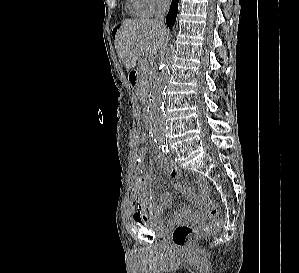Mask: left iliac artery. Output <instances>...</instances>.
Wrapping results in <instances>:
<instances>
[{"mask_svg": "<svg viewBox=\"0 0 299 273\" xmlns=\"http://www.w3.org/2000/svg\"><path fill=\"white\" fill-rule=\"evenodd\" d=\"M162 151L165 152V153H168L169 152V149H168V145L167 144H164L162 146Z\"/></svg>", "mask_w": 299, "mask_h": 273, "instance_id": "obj_1", "label": "left iliac artery"}]
</instances>
